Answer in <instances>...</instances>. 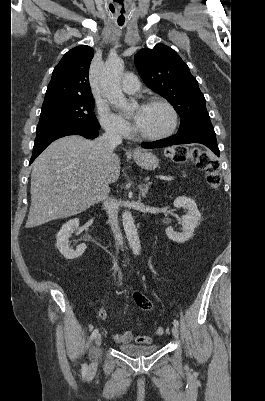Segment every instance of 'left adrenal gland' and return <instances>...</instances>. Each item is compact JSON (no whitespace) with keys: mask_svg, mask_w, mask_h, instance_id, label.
I'll return each mask as SVG.
<instances>
[{"mask_svg":"<svg viewBox=\"0 0 265 401\" xmlns=\"http://www.w3.org/2000/svg\"><path fill=\"white\" fill-rule=\"evenodd\" d=\"M150 186V182H147V184H139V196H143L145 198L148 188Z\"/></svg>","mask_w":265,"mask_h":401,"instance_id":"obj_1","label":"left adrenal gland"}]
</instances>
